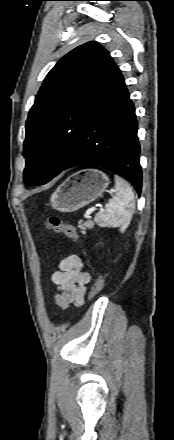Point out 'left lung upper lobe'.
I'll use <instances>...</instances> for the list:
<instances>
[{"mask_svg":"<svg viewBox=\"0 0 174 440\" xmlns=\"http://www.w3.org/2000/svg\"><path fill=\"white\" fill-rule=\"evenodd\" d=\"M116 69L107 50L88 42L62 57L48 73L26 122L27 185L47 183L75 154L85 120Z\"/></svg>","mask_w":174,"mask_h":440,"instance_id":"1","label":"left lung upper lobe"}]
</instances>
